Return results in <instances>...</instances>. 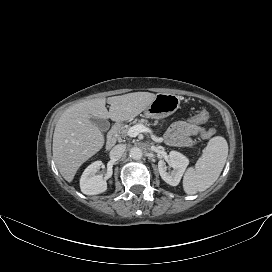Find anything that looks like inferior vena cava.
<instances>
[{
	"mask_svg": "<svg viewBox=\"0 0 272 272\" xmlns=\"http://www.w3.org/2000/svg\"><path fill=\"white\" fill-rule=\"evenodd\" d=\"M125 149L126 146L124 144H118L114 146L110 151V158L114 161L119 160L122 157Z\"/></svg>",
	"mask_w": 272,
	"mask_h": 272,
	"instance_id": "1",
	"label": "inferior vena cava"
}]
</instances>
